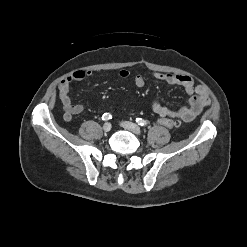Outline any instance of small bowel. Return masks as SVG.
I'll return each mask as SVG.
<instances>
[{
  "instance_id": "1",
  "label": "small bowel",
  "mask_w": 247,
  "mask_h": 247,
  "mask_svg": "<svg viewBox=\"0 0 247 247\" xmlns=\"http://www.w3.org/2000/svg\"><path fill=\"white\" fill-rule=\"evenodd\" d=\"M130 75V72L126 69L120 70L118 76L126 78ZM92 76L90 71L76 70L66 78H64L58 85V95L62 103L64 111V120L71 121L73 116L80 114L85 110L83 104H74L70 99V87L71 84L76 81H82ZM152 76L164 83L170 85H177L186 91L190 95L188 105L180 109H171L158 101L152 103L153 111L160 117L171 118L176 121L189 122L199 115L205 107L210 104V98L207 90L201 85H195L193 79L186 75L171 74L154 72ZM136 87L142 88L145 85V78L142 75H137L134 79Z\"/></svg>"
}]
</instances>
